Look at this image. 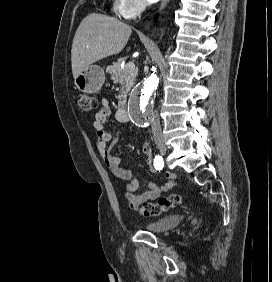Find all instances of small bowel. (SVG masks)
I'll list each match as a JSON object with an SVG mask.
<instances>
[{"label": "small bowel", "mask_w": 272, "mask_h": 282, "mask_svg": "<svg viewBox=\"0 0 272 282\" xmlns=\"http://www.w3.org/2000/svg\"><path fill=\"white\" fill-rule=\"evenodd\" d=\"M111 115V108L108 100H102V107L96 113L93 122V127L97 131L98 141L97 150L105 163L106 167L111 173L118 179L124 181L125 184V199L130 207L134 211H138L141 205L150 200H156L160 195L167 192L171 185L166 183L161 186L150 184L149 190L141 194H136L135 191L138 188V183L134 179V174L131 168L121 165L119 157L113 155L112 151L114 146L119 140V134H111L105 130V124L108 117ZM141 151L145 156L147 166L153 170L152 151L147 144H143ZM167 179L171 182L174 180V176L170 173L166 174Z\"/></svg>", "instance_id": "1"}]
</instances>
